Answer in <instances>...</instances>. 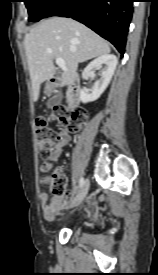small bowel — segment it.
Here are the masks:
<instances>
[{
	"instance_id": "small-bowel-1",
	"label": "small bowel",
	"mask_w": 158,
	"mask_h": 275,
	"mask_svg": "<svg viewBox=\"0 0 158 275\" xmlns=\"http://www.w3.org/2000/svg\"><path fill=\"white\" fill-rule=\"evenodd\" d=\"M71 140V136L68 130L63 129L58 133V139L55 143L53 150L50 152L46 161H44L41 165V171H48L47 166L50 165L51 162H55L58 160L59 156L62 153L63 148L69 143ZM59 170L63 171V167H60ZM73 191H71L67 196L53 199L51 202L48 201V196L46 193L40 194L41 208L42 213L45 219L52 220L55 216L61 211L65 210L69 205V199L72 196ZM95 206L93 202L87 203L86 209L90 210Z\"/></svg>"
}]
</instances>
